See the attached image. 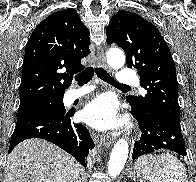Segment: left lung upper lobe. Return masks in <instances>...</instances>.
<instances>
[{
  "label": "left lung upper lobe",
  "instance_id": "1",
  "mask_svg": "<svg viewBox=\"0 0 196 182\" xmlns=\"http://www.w3.org/2000/svg\"><path fill=\"white\" fill-rule=\"evenodd\" d=\"M107 43H116L126 54L128 67L136 68L147 94L128 96L137 109H159L180 122L178 82L171 52L157 28L138 14L119 11L106 29Z\"/></svg>",
  "mask_w": 196,
  "mask_h": 182
}]
</instances>
